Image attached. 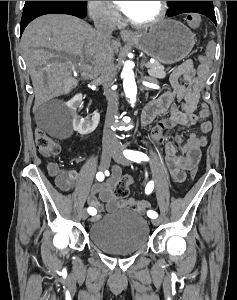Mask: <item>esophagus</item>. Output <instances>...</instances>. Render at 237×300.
Returning a JSON list of instances; mask_svg holds the SVG:
<instances>
[{
	"mask_svg": "<svg viewBox=\"0 0 237 300\" xmlns=\"http://www.w3.org/2000/svg\"><path fill=\"white\" fill-rule=\"evenodd\" d=\"M120 36L122 39L124 40H135L138 35L135 33H132V31H128L127 29H124L122 31H120Z\"/></svg>",
	"mask_w": 237,
	"mask_h": 300,
	"instance_id": "esophagus-1",
	"label": "esophagus"
}]
</instances>
